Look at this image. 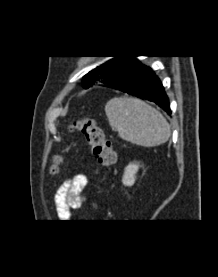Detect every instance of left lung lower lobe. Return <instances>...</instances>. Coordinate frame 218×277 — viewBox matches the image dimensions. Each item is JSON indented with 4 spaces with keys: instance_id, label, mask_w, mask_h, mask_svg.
<instances>
[{
    "instance_id": "0a47b994",
    "label": "left lung lower lobe",
    "mask_w": 218,
    "mask_h": 277,
    "mask_svg": "<svg viewBox=\"0 0 218 277\" xmlns=\"http://www.w3.org/2000/svg\"><path fill=\"white\" fill-rule=\"evenodd\" d=\"M102 83L116 90L150 100L159 105L169 115L168 98L162 83L150 67L133 59L124 68L113 72Z\"/></svg>"
}]
</instances>
